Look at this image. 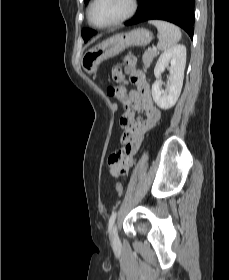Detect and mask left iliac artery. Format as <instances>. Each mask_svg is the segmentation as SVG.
<instances>
[{
  "label": "left iliac artery",
  "mask_w": 229,
  "mask_h": 280,
  "mask_svg": "<svg viewBox=\"0 0 229 280\" xmlns=\"http://www.w3.org/2000/svg\"><path fill=\"white\" fill-rule=\"evenodd\" d=\"M116 215H117V212H113L110 216V219H109V225H108V230H109V233L111 234V229H112V226L114 224V221L116 219Z\"/></svg>",
  "instance_id": "44dca946"
}]
</instances>
